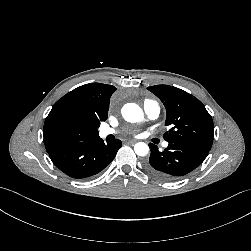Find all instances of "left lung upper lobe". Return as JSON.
Wrapping results in <instances>:
<instances>
[{"label": "left lung upper lobe", "mask_w": 251, "mask_h": 251, "mask_svg": "<svg viewBox=\"0 0 251 251\" xmlns=\"http://www.w3.org/2000/svg\"><path fill=\"white\" fill-rule=\"evenodd\" d=\"M164 104L166 126L171 129L164 134L170 143H188L211 149L214 139V126L205 106L191 94L168 85H155L147 88Z\"/></svg>", "instance_id": "1"}]
</instances>
